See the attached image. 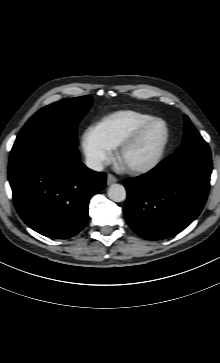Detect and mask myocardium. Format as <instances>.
I'll list each match as a JSON object with an SVG mask.
<instances>
[{"label":"myocardium","instance_id":"1","mask_svg":"<svg viewBox=\"0 0 220 363\" xmlns=\"http://www.w3.org/2000/svg\"><path fill=\"white\" fill-rule=\"evenodd\" d=\"M156 123H162L164 125V138L158 150L149 161L138 165L126 166L127 170L131 173H147L155 169L160 164L170 140V129L167 122L161 118H153L137 127L117 146L115 156L117 161L121 163L122 156L125 154V152H127L134 144H136L143 134Z\"/></svg>","mask_w":220,"mask_h":363}]
</instances>
